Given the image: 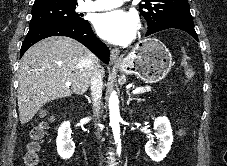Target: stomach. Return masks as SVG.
<instances>
[{
	"label": "stomach",
	"mask_w": 227,
	"mask_h": 166,
	"mask_svg": "<svg viewBox=\"0 0 227 166\" xmlns=\"http://www.w3.org/2000/svg\"><path fill=\"white\" fill-rule=\"evenodd\" d=\"M171 66L172 56L167 47L158 39L148 38L137 43L118 68L146 83H156L166 77Z\"/></svg>",
	"instance_id": "obj_1"
}]
</instances>
